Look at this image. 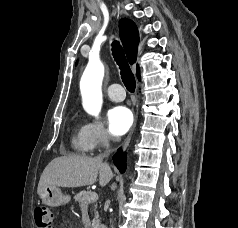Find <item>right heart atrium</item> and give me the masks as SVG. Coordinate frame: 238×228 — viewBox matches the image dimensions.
<instances>
[{
	"instance_id": "obj_1",
	"label": "right heart atrium",
	"mask_w": 238,
	"mask_h": 228,
	"mask_svg": "<svg viewBox=\"0 0 238 228\" xmlns=\"http://www.w3.org/2000/svg\"><path fill=\"white\" fill-rule=\"evenodd\" d=\"M83 134L90 150L107 147L111 136L104 124L98 120H89L83 125Z\"/></svg>"
}]
</instances>
